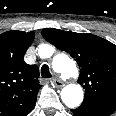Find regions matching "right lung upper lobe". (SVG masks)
Returning <instances> with one entry per match:
<instances>
[{
  "label": "right lung upper lobe",
  "mask_w": 116,
  "mask_h": 116,
  "mask_svg": "<svg viewBox=\"0 0 116 116\" xmlns=\"http://www.w3.org/2000/svg\"><path fill=\"white\" fill-rule=\"evenodd\" d=\"M34 32L0 34V116H27L35 106L39 69L24 62Z\"/></svg>",
  "instance_id": "obj_1"
}]
</instances>
